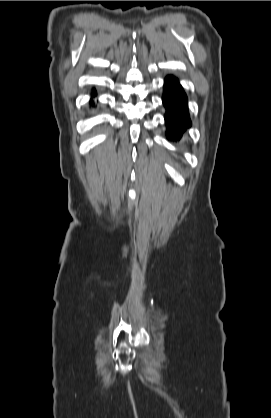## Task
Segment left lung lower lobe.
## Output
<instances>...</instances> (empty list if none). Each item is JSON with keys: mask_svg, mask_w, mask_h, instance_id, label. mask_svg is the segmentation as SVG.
<instances>
[{"mask_svg": "<svg viewBox=\"0 0 271 418\" xmlns=\"http://www.w3.org/2000/svg\"><path fill=\"white\" fill-rule=\"evenodd\" d=\"M163 104L166 108L165 123L167 138L180 139L184 131L191 126L187 107V96L178 80L173 76L165 79Z\"/></svg>", "mask_w": 271, "mask_h": 418, "instance_id": "left-lung-lower-lobe-1", "label": "left lung lower lobe"}]
</instances>
